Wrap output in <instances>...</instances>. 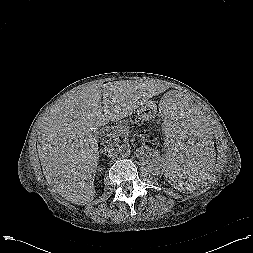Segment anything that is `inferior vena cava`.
<instances>
[{
  "label": "inferior vena cava",
  "instance_id": "602c4592",
  "mask_svg": "<svg viewBox=\"0 0 253 253\" xmlns=\"http://www.w3.org/2000/svg\"><path fill=\"white\" fill-rule=\"evenodd\" d=\"M109 152H110L111 155H114L115 153L118 152V148L117 147L115 148V147L111 146V147H109Z\"/></svg>",
  "mask_w": 253,
  "mask_h": 253
}]
</instances>
